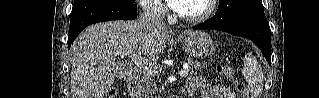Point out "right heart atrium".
Here are the masks:
<instances>
[{"instance_id":"obj_1","label":"right heart atrium","mask_w":319,"mask_h":98,"mask_svg":"<svg viewBox=\"0 0 319 98\" xmlns=\"http://www.w3.org/2000/svg\"><path fill=\"white\" fill-rule=\"evenodd\" d=\"M146 12L152 17H160L166 13L165 7L161 1H142Z\"/></svg>"}]
</instances>
